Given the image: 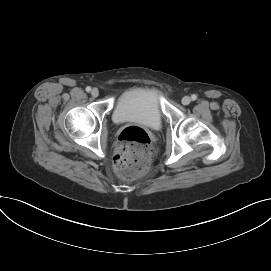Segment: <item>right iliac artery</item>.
Masks as SVG:
<instances>
[{
  "mask_svg": "<svg viewBox=\"0 0 271 271\" xmlns=\"http://www.w3.org/2000/svg\"><path fill=\"white\" fill-rule=\"evenodd\" d=\"M86 91L90 92L91 91V87L90 86L86 87Z\"/></svg>",
  "mask_w": 271,
  "mask_h": 271,
  "instance_id": "obj_1",
  "label": "right iliac artery"
}]
</instances>
